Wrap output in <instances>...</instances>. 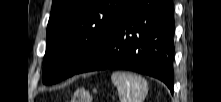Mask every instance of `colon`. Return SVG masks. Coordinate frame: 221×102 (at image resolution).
<instances>
[{
	"label": "colon",
	"mask_w": 221,
	"mask_h": 102,
	"mask_svg": "<svg viewBox=\"0 0 221 102\" xmlns=\"http://www.w3.org/2000/svg\"><path fill=\"white\" fill-rule=\"evenodd\" d=\"M71 102H92L91 93L84 88L77 89L73 94Z\"/></svg>",
	"instance_id": "5ec220e1"
}]
</instances>
